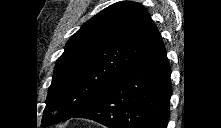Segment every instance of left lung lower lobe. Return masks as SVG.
<instances>
[{"mask_svg": "<svg viewBox=\"0 0 221 128\" xmlns=\"http://www.w3.org/2000/svg\"><path fill=\"white\" fill-rule=\"evenodd\" d=\"M171 69L162 39L103 97L73 116L109 128H166L170 116Z\"/></svg>", "mask_w": 221, "mask_h": 128, "instance_id": "0a47b994", "label": "left lung lower lobe"}]
</instances>
